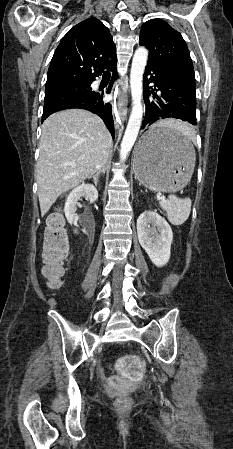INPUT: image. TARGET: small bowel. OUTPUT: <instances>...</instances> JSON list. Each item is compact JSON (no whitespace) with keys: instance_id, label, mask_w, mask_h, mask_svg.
Returning a JSON list of instances; mask_svg holds the SVG:
<instances>
[{"instance_id":"1","label":"small bowel","mask_w":233,"mask_h":449,"mask_svg":"<svg viewBox=\"0 0 233 449\" xmlns=\"http://www.w3.org/2000/svg\"><path fill=\"white\" fill-rule=\"evenodd\" d=\"M119 359L124 363L123 368L120 372L122 377H140L144 367L142 363H133L137 359L135 355L123 354Z\"/></svg>"}]
</instances>
